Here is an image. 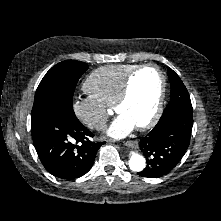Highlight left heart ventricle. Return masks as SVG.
I'll use <instances>...</instances> for the list:
<instances>
[{
  "instance_id": "1",
  "label": "left heart ventricle",
  "mask_w": 221,
  "mask_h": 221,
  "mask_svg": "<svg viewBox=\"0 0 221 221\" xmlns=\"http://www.w3.org/2000/svg\"><path fill=\"white\" fill-rule=\"evenodd\" d=\"M161 89V77L153 68L139 72L131 87L129 99L119 108V114L129 118L135 126L147 122L154 114Z\"/></svg>"
}]
</instances>
